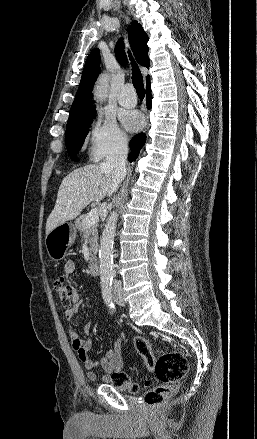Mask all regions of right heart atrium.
<instances>
[{
    "label": "right heart atrium",
    "instance_id": "d8ad5b80",
    "mask_svg": "<svg viewBox=\"0 0 257 439\" xmlns=\"http://www.w3.org/2000/svg\"><path fill=\"white\" fill-rule=\"evenodd\" d=\"M125 142L126 137L115 119L104 115L96 117L86 137L88 154L95 161L120 150Z\"/></svg>",
    "mask_w": 257,
    "mask_h": 439
}]
</instances>
